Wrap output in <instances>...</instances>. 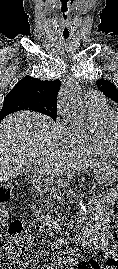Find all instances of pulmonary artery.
Segmentation results:
<instances>
[{"mask_svg":"<svg viewBox=\"0 0 118 269\" xmlns=\"http://www.w3.org/2000/svg\"><path fill=\"white\" fill-rule=\"evenodd\" d=\"M84 102L90 111L102 109L107 106L105 97L99 91L93 89L87 91Z\"/></svg>","mask_w":118,"mask_h":269,"instance_id":"e3ab8cb5","label":"pulmonary artery"}]
</instances>
